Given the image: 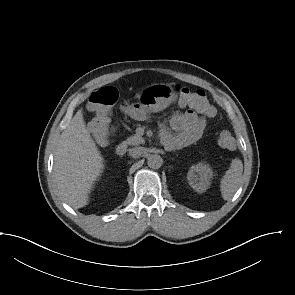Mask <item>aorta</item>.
<instances>
[{"mask_svg": "<svg viewBox=\"0 0 295 295\" xmlns=\"http://www.w3.org/2000/svg\"><path fill=\"white\" fill-rule=\"evenodd\" d=\"M147 164L150 168H160L163 164V159L158 154H152L147 158Z\"/></svg>", "mask_w": 295, "mask_h": 295, "instance_id": "aorta-1", "label": "aorta"}]
</instances>
